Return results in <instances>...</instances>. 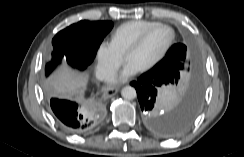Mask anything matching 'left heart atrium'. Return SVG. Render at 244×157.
<instances>
[{
	"mask_svg": "<svg viewBox=\"0 0 244 157\" xmlns=\"http://www.w3.org/2000/svg\"><path fill=\"white\" fill-rule=\"evenodd\" d=\"M139 70L140 69L134 63L126 61L120 73L111 80L110 85L114 86L127 81L130 77L139 72Z\"/></svg>",
	"mask_w": 244,
	"mask_h": 157,
	"instance_id": "39dd6f15",
	"label": "left heart atrium"
}]
</instances>
